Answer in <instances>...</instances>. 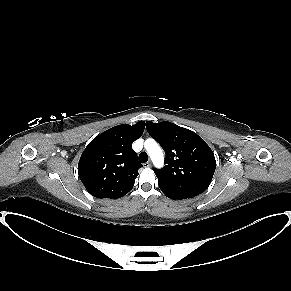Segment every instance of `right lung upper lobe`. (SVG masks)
Instances as JSON below:
<instances>
[{"label":"right lung upper lobe","mask_w":291,"mask_h":291,"mask_svg":"<svg viewBox=\"0 0 291 291\" xmlns=\"http://www.w3.org/2000/svg\"><path fill=\"white\" fill-rule=\"evenodd\" d=\"M144 128V121L132 126L118 125L87 145L78 163V174L91 195L117 199L133 188L142 164L132 143L142 136Z\"/></svg>","instance_id":"1"}]
</instances>
